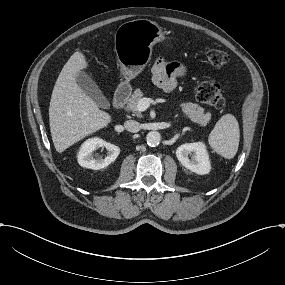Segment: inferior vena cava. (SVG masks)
<instances>
[{
    "mask_svg": "<svg viewBox=\"0 0 285 285\" xmlns=\"http://www.w3.org/2000/svg\"><path fill=\"white\" fill-rule=\"evenodd\" d=\"M124 128L129 132H139L141 129L140 123L135 120H127L124 122Z\"/></svg>",
    "mask_w": 285,
    "mask_h": 285,
    "instance_id": "obj_1",
    "label": "inferior vena cava"
}]
</instances>
